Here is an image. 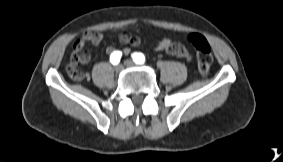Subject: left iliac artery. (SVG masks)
<instances>
[{
    "mask_svg": "<svg viewBox=\"0 0 283 162\" xmlns=\"http://www.w3.org/2000/svg\"><path fill=\"white\" fill-rule=\"evenodd\" d=\"M132 59L137 64H143L145 62V56L137 52L132 54Z\"/></svg>",
    "mask_w": 283,
    "mask_h": 162,
    "instance_id": "left-iliac-artery-1",
    "label": "left iliac artery"
}]
</instances>
